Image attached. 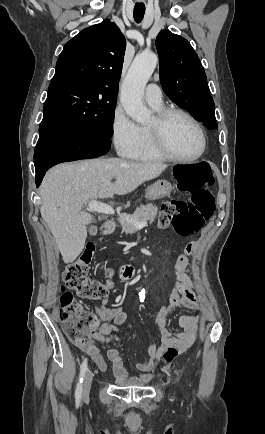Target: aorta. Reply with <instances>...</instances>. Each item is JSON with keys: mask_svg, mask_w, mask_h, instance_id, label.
Instances as JSON below:
<instances>
[{"mask_svg": "<svg viewBox=\"0 0 265 434\" xmlns=\"http://www.w3.org/2000/svg\"><path fill=\"white\" fill-rule=\"evenodd\" d=\"M158 58L156 54H139L135 56L122 82L120 102L127 114L138 124H146L150 120V110L144 106L142 100L144 88L150 80Z\"/></svg>", "mask_w": 265, "mask_h": 434, "instance_id": "762f6f07", "label": "aorta"}]
</instances>
